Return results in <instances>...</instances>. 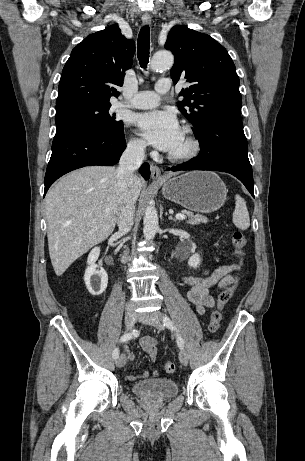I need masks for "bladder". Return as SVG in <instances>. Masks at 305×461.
I'll list each match as a JSON object with an SVG mask.
<instances>
[{"mask_svg": "<svg viewBox=\"0 0 305 461\" xmlns=\"http://www.w3.org/2000/svg\"><path fill=\"white\" fill-rule=\"evenodd\" d=\"M132 390L135 394L144 398L166 400L176 396L179 392V387L175 380L171 378H150L133 384Z\"/></svg>", "mask_w": 305, "mask_h": 461, "instance_id": "obj_1", "label": "bladder"}]
</instances>
